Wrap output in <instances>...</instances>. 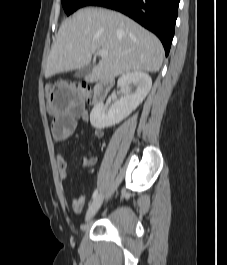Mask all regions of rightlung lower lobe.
<instances>
[{"label":"right lung lower lobe","mask_w":227,"mask_h":265,"mask_svg":"<svg viewBox=\"0 0 227 265\" xmlns=\"http://www.w3.org/2000/svg\"><path fill=\"white\" fill-rule=\"evenodd\" d=\"M180 0H93L89 5L120 11L153 32L168 55Z\"/></svg>","instance_id":"right-lung-lower-lobe-1"}]
</instances>
